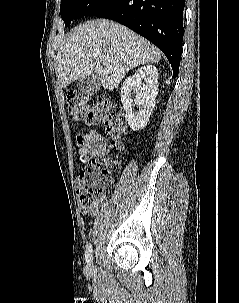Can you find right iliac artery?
Returning <instances> with one entry per match:
<instances>
[{"instance_id":"82829eb1","label":"right iliac artery","mask_w":239,"mask_h":303,"mask_svg":"<svg viewBox=\"0 0 239 303\" xmlns=\"http://www.w3.org/2000/svg\"><path fill=\"white\" fill-rule=\"evenodd\" d=\"M85 260L89 265L92 263V245H91V243L87 244V246H86Z\"/></svg>"}]
</instances>
